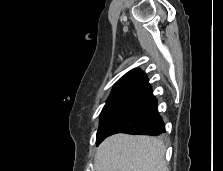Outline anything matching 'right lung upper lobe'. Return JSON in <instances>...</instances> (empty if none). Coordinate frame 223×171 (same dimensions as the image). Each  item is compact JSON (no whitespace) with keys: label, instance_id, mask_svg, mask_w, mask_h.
Instances as JSON below:
<instances>
[{"label":"right lung upper lobe","instance_id":"right-lung-upper-lobe-1","mask_svg":"<svg viewBox=\"0 0 223 171\" xmlns=\"http://www.w3.org/2000/svg\"><path fill=\"white\" fill-rule=\"evenodd\" d=\"M150 90L147 77L140 70H133L114 85L109 98L131 97L137 99Z\"/></svg>","mask_w":223,"mask_h":171}]
</instances>
